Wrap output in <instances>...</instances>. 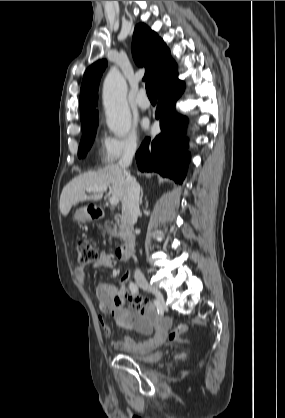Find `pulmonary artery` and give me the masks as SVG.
<instances>
[{"mask_svg":"<svg viewBox=\"0 0 285 418\" xmlns=\"http://www.w3.org/2000/svg\"><path fill=\"white\" fill-rule=\"evenodd\" d=\"M135 104L143 110L148 109L150 107L151 103L147 98L144 90H141L139 92L138 96L135 99Z\"/></svg>","mask_w":285,"mask_h":418,"instance_id":"pulmonary-artery-1","label":"pulmonary artery"}]
</instances>
